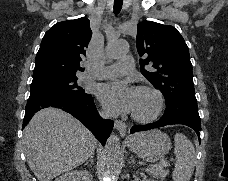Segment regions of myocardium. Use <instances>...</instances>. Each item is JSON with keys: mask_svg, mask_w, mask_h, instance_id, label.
Segmentation results:
<instances>
[{"mask_svg": "<svg viewBox=\"0 0 228 181\" xmlns=\"http://www.w3.org/2000/svg\"><path fill=\"white\" fill-rule=\"evenodd\" d=\"M136 89L138 91L145 90L150 92L155 98V106L148 115H140L135 112L133 113V118L139 122H144V123L151 122L158 117V115L160 114L163 108V104H164L163 95L158 89L152 86L143 85V86H138Z\"/></svg>", "mask_w": 228, "mask_h": 181, "instance_id": "obj_1", "label": "myocardium"}]
</instances>
